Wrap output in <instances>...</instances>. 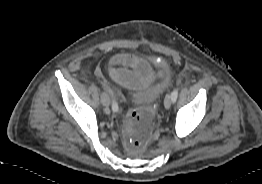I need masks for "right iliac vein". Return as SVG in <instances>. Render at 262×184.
Returning a JSON list of instances; mask_svg holds the SVG:
<instances>
[{
    "mask_svg": "<svg viewBox=\"0 0 262 184\" xmlns=\"http://www.w3.org/2000/svg\"><path fill=\"white\" fill-rule=\"evenodd\" d=\"M101 103L106 107L110 105V98L106 93L101 95Z\"/></svg>",
    "mask_w": 262,
    "mask_h": 184,
    "instance_id": "obj_1",
    "label": "right iliac vein"
}]
</instances>
